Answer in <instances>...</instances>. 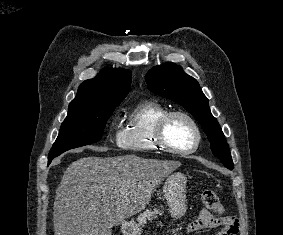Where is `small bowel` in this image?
I'll list each match as a JSON object with an SVG mask.
<instances>
[{"mask_svg": "<svg viewBox=\"0 0 283 235\" xmlns=\"http://www.w3.org/2000/svg\"><path fill=\"white\" fill-rule=\"evenodd\" d=\"M239 220L234 217L214 216L208 210H202L198 218L186 227L187 233L211 228H220L218 235H237L239 232Z\"/></svg>", "mask_w": 283, "mask_h": 235, "instance_id": "c3829d8e", "label": "small bowel"}]
</instances>
